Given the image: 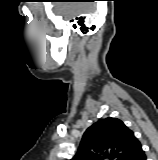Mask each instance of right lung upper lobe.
Returning a JSON list of instances; mask_svg holds the SVG:
<instances>
[{
	"mask_svg": "<svg viewBox=\"0 0 158 160\" xmlns=\"http://www.w3.org/2000/svg\"><path fill=\"white\" fill-rule=\"evenodd\" d=\"M141 143L120 119H100L84 132L71 160H130Z\"/></svg>",
	"mask_w": 158,
	"mask_h": 160,
	"instance_id": "1",
	"label": "right lung upper lobe"
}]
</instances>
